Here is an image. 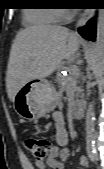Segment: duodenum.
<instances>
[{
	"mask_svg": "<svg viewBox=\"0 0 104 169\" xmlns=\"http://www.w3.org/2000/svg\"><path fill=\"white\" fill-rule=\"evenodd\" d=\"M85 103L82 101H78L75 103L74 107H73V112L76 118H81L84 116L85 113Z\"/></svg>",
	"mask_w": 104,
	"mask_h": 169,
	"instance_id": "410a0bca",
	"label": "duodenum"
}]
</instances>
